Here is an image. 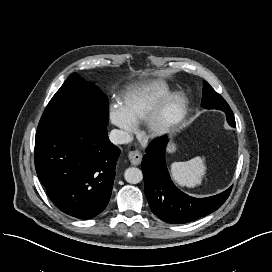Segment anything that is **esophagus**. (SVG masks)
I'll return each instance as SVG.
<instances>
[{
	"instance_id": "obj_1",
	"label": "esophagus",
	"mask_w": 272,
	"mask_h": 272,
	"mask_svg": "<svg viewBox=\"0 0 272 272\" xmlns=\"http://www.w3.org/2000/svg\"><path fill=\"white\" fill-rule=\"evenodd\" d=\"M128 157L132 165L137 166L141 163L142 155L138 151L129 152Z\"/></svg>"
}]
</instances>
